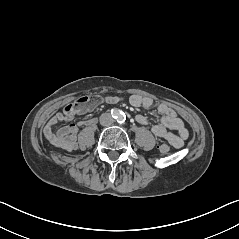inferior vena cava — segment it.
Wrapping results in <instances>:
<instances>
[{"mask_svg":"<svg viewBox=\"0 0 239 239\" xmlns=\"http://www.w3.org/2000/svg\"><path fill=\"white\" fill-rule=\"evenodd\" d=\"M100 124L103 126H109L113 123V118L110 113H102L99 118Z\"/></svg>","mask_w":239,"mask_h":239,"instance_id":"obj_1","label":"inferior vena cava"}]
</instances>
